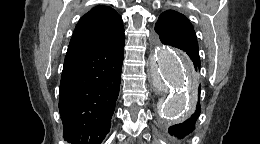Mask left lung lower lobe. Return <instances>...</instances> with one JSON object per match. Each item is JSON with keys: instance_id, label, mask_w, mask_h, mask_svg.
<instances>
[{"instance_id": "0a47b994", "label": "left lung lower lobe", "mask_w": 260, "mask_h": 144, "mask_svg": "<svg viewBox=\"0 0 260 144\" xmlns=\"http://www.w3.org/2000/svg\"><path fill=\"white\" fill-rule=\"evenodd\" d=\"M163 44L171 45L185 51L190 59L193 61L195 69H197L196 63L200 61L198 43L182 40H169L164 41ZM198 94H200V87L198 89ZM200 112V99H198L195 112L191 114L190 117L184 122L170 126L169 133L178 138H183L191 133L195 129V123L200 115Z\"/></svg>"}]
</instances>
